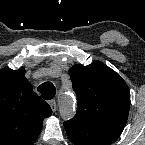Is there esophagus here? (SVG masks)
Returning a JSON list of instances; mask_svg holds the SVG:
<instances>
[{"label":"esophagus","mask_w":145,"mask_h":145,"mask_svg":"<svg viewBox=\"0 0 145 145\" xmlns=\"http://www.w3.org/2000/svg\"><path fill=\"white\" fill-rule=\"evenodd\" d=\"M49 105H50V107H51L53 112H55L57 110V104H56V100L55 99H51L49 101Z\"/></svg>","instance_id":"obj_1"}]
</instances>
